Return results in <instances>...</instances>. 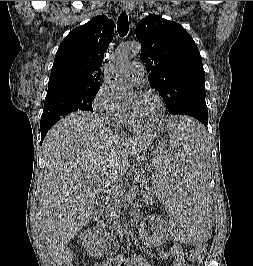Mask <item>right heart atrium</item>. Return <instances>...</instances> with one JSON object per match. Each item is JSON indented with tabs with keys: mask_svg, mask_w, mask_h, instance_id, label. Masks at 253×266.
Masks as SVG:
<instances>
[{
	"mask_svg": "<svg viewBox=\"0 0 253 266\" xmlns=\"http://www.w3.org/2000/svg\"><path fill=\"white\" fill-rule=\"evenodd\" d=\"M92 107L99 118L107 125H121L125 121L123 108L105 85L100 86L96 92Z\"/></svg>",
	"mask_w": 253,
	"mask_h": 266,
	"instance_id": "obj_1",
	"label": "right heart atrium"
}]
</instances>
